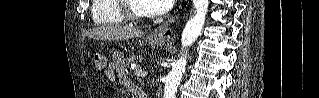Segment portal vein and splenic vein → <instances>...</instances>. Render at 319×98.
Listing matches in <instances>:
<instances>
[{"label": "portal vein and splenic vein", "instance_id": "portal-vein-and-splenic-vein-1", "mask_svg": "<svg viewBox=\"0 0 319 98\" xmlns=\"http://www.w3.org/2000/svg\"><path fill=\"white\" fill-rule=\"evenodd\" d=\"M148 74V72H145V71H143V70H140V69H136L135 70V75L137 76V77H145L146 75Z\"/></svg>", "mask_w": 319, "mask_h": 98}]
</instances>
